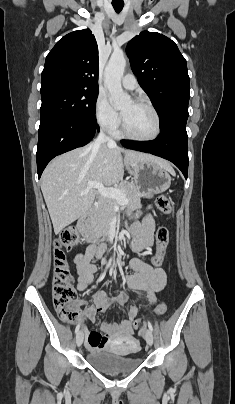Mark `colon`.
Here are the masks:
<instances>
[{"mask_svg": "<svg viewBox=\"0 0 235 404\" xmlns=\"http://www.w3.org/2000/svg\"><path fill=\"white\" fill-rule=\"evenodd\" d=\"M158 208L166 215L171 213V205L166 196H158L156 199ZM80 240L79 233L71 228H66L54 241V276H53V302L58 317L65 323L74 324L78 322L80 310L77 303V295L71 285L72 277L69 264L66 258V251L70 250ZM169 243V230L166 226H160L156 231V253L151 258V264L158 267L163 262L166 249ZM167 304L161 302L153 313V317L164 314ZM146 319H136L135 328L145 325ZM102 343L107 339L102 338Z\"/></svg>", "mask_w": 235, "mask_h": 404, "instance_id": "obj_1", "label": "colon"}]
</instances>
